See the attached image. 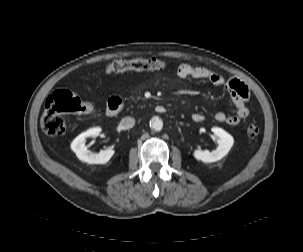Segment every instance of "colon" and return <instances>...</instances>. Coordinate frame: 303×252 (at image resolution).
Instances as JSON below:
<instances>
[{
    "instance_id": "1",
    "label": "colon",
    "mask_w": 303,
    "mask_h": 252,
    "mask_svg": "<svg viewBox=\"0 0 303 252\" xmlns=\"http://www.w3.org/2000/svg\"><path fill=\"white\" fill-rule=\"evenodd\" d=\"M167 63L158 59L114 60L107 64V73H124L127 71L164 70ZM93 112L91 103L82 101L78 96L67 89H61L51 94L46 102L41 117L43 131L51 136L58 137L66 133V125L62 114H90ZM259 128L255 124L247 127V135L255 138Z\"/></svg>"
}]
</instances>
